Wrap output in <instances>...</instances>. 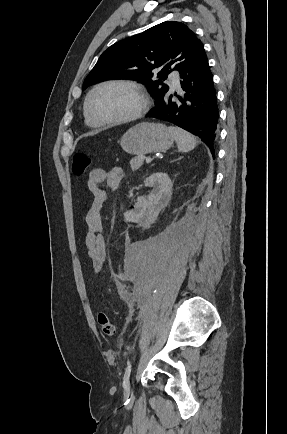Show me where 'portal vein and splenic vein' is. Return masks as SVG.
<instances>
[{"label":"portal vein and splenic vein","instance_id":"18ae733b","mask_svg":"<svg viewBox=\"0 0 287 434\" xmlns=\"http://www.w3.org/2000/svg\"><path fill=\"white\" fill-rule=\"evenodd\" d=\"M152 161L151 157L146 158V163H150Z\"/></svg>","mask_w":287,"mask_h":434}]
</instances>
